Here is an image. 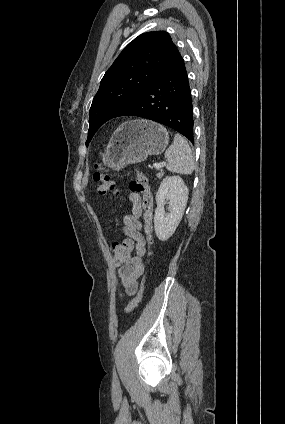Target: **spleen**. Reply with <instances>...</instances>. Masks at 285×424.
Masks as SVG:
<instances>
[{
	"label": "spleen",
	"instance_id": "1",
	"mask_svg": "<svg viewBox=\"0 0 285 424\" xmlns=\"http://www.w3.org/2000/svg\"><path fill=\"white\" fill-rule=\"evenodd\" d=\"M167 170L175 173L191 174L194 170L192 150L181 135L175 134L172 145L166 150Z\"/></svg>",
	"mask_w": 285,
	"mask_h": 424
}]
</instances>
